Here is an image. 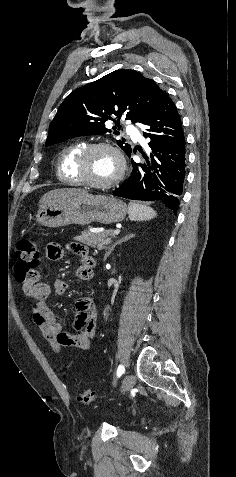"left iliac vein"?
Wrapping results in <instances>:
<instances>
[{"mask_svg":"<svg viewBox=\"0 0 236 477\" xmlns=\"http://www.w3.org/2000/svg\"><path fill=\"white\" fill-rule=\"evenodd\" d=\"M135 384V377L132 374H129L125 377L123 381V386H122V391L127 392L129 389H131Z\"/></svg>","mask_w":236,"mask_h":477,"instance_id":"1","label":"left iliac vein"}]
</instances>
